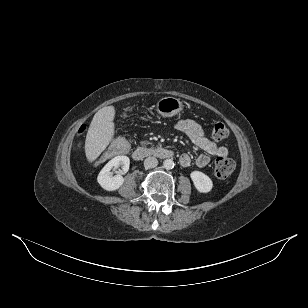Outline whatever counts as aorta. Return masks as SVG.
<instances>
[{"label":"aorta","instance_id":"1","mask_svg":"<svg viewBox=\"0 0 308 308\" xmlns=\"http://www.w3.org/2000/svg\"><path fill=\"white\" fill-rule=\"evenodd\" d=\"M163 167L167 170L173 169L174 161L172 159H166L163 162Z\"/></svg>","mask_w":308,"mask_h":308}]
</instances>
